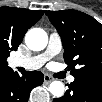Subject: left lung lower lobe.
Listing matches in <instances>:
<instances>
[{
    "mask_svg": "<svg viewBox=\"0 0 102 102\" xmlns=\"http://www.w3.org/2000/svg\"><path fill=\"white\" fill-rule=\"evenodd\" d=\"M68 87L70 88V90L66 91L64 97L54 100L61 102H67L69 100H72L74 102H81L82 100L94 102L101 99V83L85 80H75L73 83L68 85Z\"/></svg>",
    "mask_w": 102,
    "mask_h": 102,
    "instance_id": "left-lung-lower-lobe-1",
    "label": "left lung lower lobe"
}]
</instances>
